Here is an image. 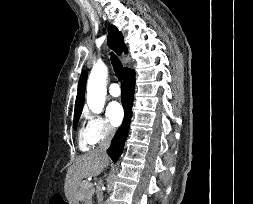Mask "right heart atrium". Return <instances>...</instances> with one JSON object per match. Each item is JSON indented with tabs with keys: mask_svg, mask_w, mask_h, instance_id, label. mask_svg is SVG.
<instances>
[{
	"mask_svg": "<svg viewBox=\"0 0 253 204\" xmlns=\"http://www.w3.org/2000/svg\"><path fill=\"white\" fill-rule=\"evenodd\" d=\"M85 130L92 145H96L111 139L114 135V128L104 117L85 112Z\"/></svg>",
	"mask_w": 253,
	"mask_h": 204,
	"instance_id": "obj_1",
	"label": "right heart atrium"
}]
</instances>
